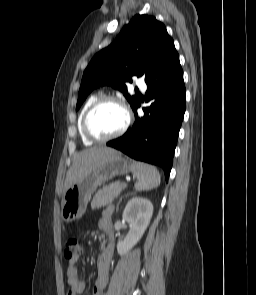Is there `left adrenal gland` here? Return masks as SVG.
<instances>
[{"instance_id": "1", "label": "left adrenal gland", "mask_w": 256, "mask_h": 295, "mask_svg": "<svg viewBox=\"0 0 256 295\" xmlns=\"http://www.w3.org/2000/svg\"><path fill=\"white\" fill-rule=\"evenodd\" d=\"M130 194H126L125 196H122L120 199H119V201H118V203H117V207H116V212H118V210H119V205H120V202L122 201V199L124 198V197H127V196H129Z\"/></svg>"}]
</instances>
